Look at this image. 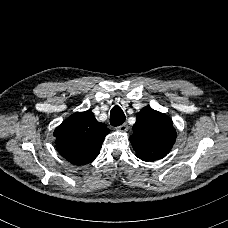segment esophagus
I'll return each mask as SVG.
<instances>
[{"instance_id": "obj_1", "label": "esophagus", "mask_w": 228, "mask_h": 228, "mask_svg": "<svg viewBox=\"0 0 228 228\" xmlns=\"http://www.w3.org/2000/svg\"><path fill=\"white\" fill-rule=\"evenodd\" d=\"M128 130V125L126 123L117 127V131L126 132Z\"/></svg>"}]
</instances>
